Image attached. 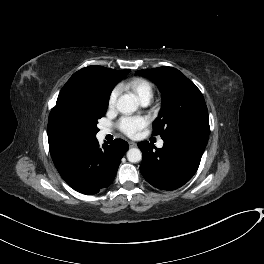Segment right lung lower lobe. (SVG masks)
<instances>
[{
	"mask_svg": "<svg viewBox=\"0 0 264 264\" xmlns=\"http://www.w3.org/2000/svg\"><path fill=\"white\" fill-rule=\"evenodd\" d=\"M127 150L128 143L121 139L100 147L98 140L93 138L57 156L53 162L71 188L92 195L112 183Z\"/></svg>",
	"mask_w": 264,
	"mask_h": 264,
	"instance_id": "98d812e1",
	"label": "right lung lower lobe"
}]
</instances>
